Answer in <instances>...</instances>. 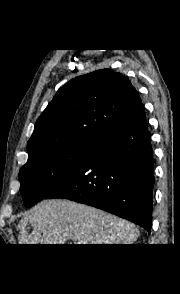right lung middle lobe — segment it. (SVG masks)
I'll list each match as a JSON object with an SVG mask.
<instances>
[{
    "label": "right lung middle lobe",
    "instance_id": "right-lung-middle-lobe-1",
    "mask_svg": "<svg viewBox=\"0 0 180 294\" xmlns=\"http://www.w3.org/2000/svg\"><path fill=\"white\" fill-rule=\"evenodd\" d=\"M96 141L72 140L41 149L19 172L20 192L27 207L66 181L92 151Z\"/></svg>",
    "mask_w": 180,
    "mask_h": 294
}]
</instances>
